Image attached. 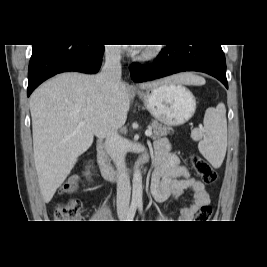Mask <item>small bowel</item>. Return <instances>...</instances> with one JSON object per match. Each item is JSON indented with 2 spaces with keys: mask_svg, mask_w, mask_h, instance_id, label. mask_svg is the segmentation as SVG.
I'll return each mask as SVG.
<instances>
[{
  "mask_svg": "<svg viewBox=\"0 0 267 267\" xmlns=\"http://www.w3.org/2000/svg\"><path fill=\"white\" fill-rule=\"evenodd\" d=\"M154 170L151 178V192L158 202L170 198L179 200L186 190L191 193V202L181 208V219L188 222L196 211L209 203V194L204 184L189 175L187 169L180 164L178 156L171 151L165 138L154 142ZM77 189L75 185L73 191Z\"/></svg>",
  "mask_w": 267,
  "mask_h": 267,
  "instance_id": "obj_1",
  "label": "small bowel"
}]
</instances>
